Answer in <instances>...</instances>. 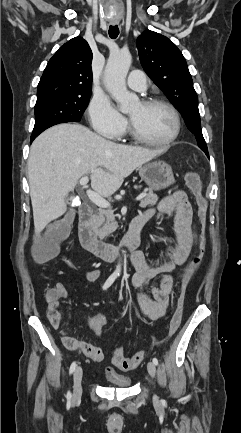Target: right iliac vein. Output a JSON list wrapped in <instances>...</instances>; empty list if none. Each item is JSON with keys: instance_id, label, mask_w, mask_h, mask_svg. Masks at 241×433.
I'll use <instances>...</instances> for the list:
<instances>
[{"instance_id": "63e3f726", "label": "right iliac vein", "mask_w": 241, "mask_h": 433, "mask_svg": "<svg viewBox=\"0 0 241 433\" xmlns=\"http://www.w3.org/2000/svg\"><path fill=\"white\" fill-rule=\"evenodd\" d=\"M82 376H83V370L81 366L76 367L73 374V394H72V400L73 402H77L81 399L82 395Z\"/></svg>"}]
</instances>
